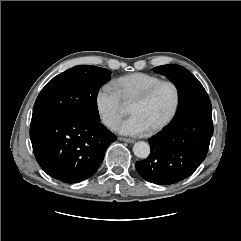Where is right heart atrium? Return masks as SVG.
Returning a JSON list of instances; mask_svg holds the SVG:
<instances>
[{
	"mask_svg": "<svg viewBox=\"0 0 241 241\" xmlns=\"http://www.w3.org/2000/svg\"><path fill=\"white\" fill-rule=\"evenodd\" d=\"M95 105L102 122L113 128L123 113V103L115 89L108 84L101 86L95 95Z\"/></svg>",
	"mask_w": 241,
	"mask_h": 241,
	"instance_id": "d8ad5b80",
	"label": "right heart atrium"
}]
</instances>
